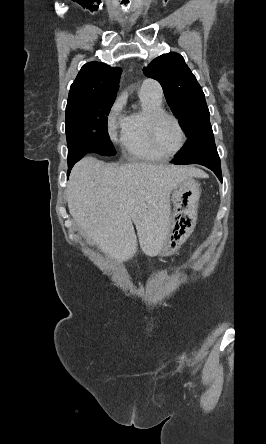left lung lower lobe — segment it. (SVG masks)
Returning a JSON list of instances; mask_svg holds the SVG:
<instances>
[{
  "mask_svg": "<svg viewBox=\"0 0 266 444\" xmlns=\"http://www.w3.org/2000/svg\"><path fill=\"white\" fill-rule=\"evenodd\" d=\"M171 162L174 164H201L211 169L222 182L220 158L211 126L190 137L184 148L176 154Z\"/></svg>",
  "mask_w": 266,
  "mask_h": 444,
  "instance_id": "left-lung-lower-lobe-1",
  "label": "left lung lower lobe"
}]
</instances>
